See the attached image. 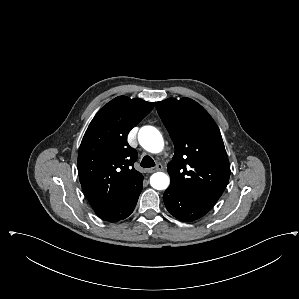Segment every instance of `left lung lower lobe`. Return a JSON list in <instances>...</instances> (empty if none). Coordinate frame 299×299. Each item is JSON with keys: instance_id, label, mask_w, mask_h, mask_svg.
Here are the masks:
<instances>
[{"instance_id": "1", "label": "left lung lower lobe", "mask_w": 299, "mask_h": 299, "mask_svg": "<svg viewBox=\"0 0 299 299\" xmlns=\"http://www.w3.org/2000/svg\"><path fill=\"white\" fill-rule=\"evenodd\" d=\"M167 210L177 219L191 222L204 216L210 207L170 185L163 195Z\"/></svg>"}]
</instances>
